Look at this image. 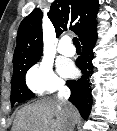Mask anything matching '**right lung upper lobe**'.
Wrapping results in <instances>:
<instances>
[{"mask_svg":"<svg viewBox=\"0 0 117 131\" xmlns=\"http://www.w3.org/2000/svg\"><path fill=\"white\" fill-rule=\"evenodd\" d=\"M98 8V0H55L48 17L55 27L57 37L69 29L82 40L96 32ZM42 16L40 9H34L20 23L13 69L35 63L40 58L43 49Z\"/></svg>","mask_w":117,"mask_h":131,"instance_id":"obj_1","label":"right lung upper lobe"}]
</instances>
